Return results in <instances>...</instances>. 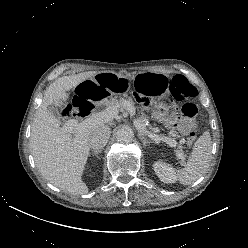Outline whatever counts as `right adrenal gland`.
Here are the masks:
<instances>
[{
    "instance_id": "obj_1",
    "label": "right adrenal gland",
    "mask_w": 248,
    "mask_h": 248,
    "mask_svg": "<svg viewBox=\"0 0 248 248\" xmlns=\"http://www.w3.org/2000/svg\"><path fill=\"white\" fill-rule=\"evenodd\" d=\"M102 150H95L94 152H92L91 154L95 155L97 158H99L98 154L101 153Z\"/></svg>"
}]
</instances>
